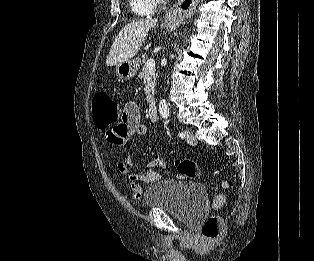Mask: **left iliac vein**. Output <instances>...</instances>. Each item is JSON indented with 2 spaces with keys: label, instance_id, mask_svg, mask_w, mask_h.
I'll return each mask as SVG.
<instances>
[{
  "label": "left iliac vein",
  "instance_id": "obj_1",
  "mask_svg": "<svg viewBox=\"0 0 314 261\" xmlns=\"http://www.w3.org/2000/svg\"><path fill=\"white\" fill-rule=\"evenodd\" d=\"M186 141L190 145H196L197 144L196 136L191 131L186 132Z\"/></svg>",
  "mask_w": 314,
  "mask_h": 261
}]
</instances>
